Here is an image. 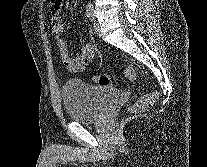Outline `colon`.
<instances>
[{"mask_svg":"<svg viewBox=\"0 0 207 167\" xmlns=\"http://www.w3.org/2000/svg\"><path fill=\"white\" fill-rule=\"evenodd\" d=\"M124 75L130 81H135L137 74L136 71L128 67L124 70ZM94 81L101 87H111L114 85V79L108 75L100 74L95 76ZM158 99V93L153 90H147L145 93L134 103L128 107L130 113H140L151 107Z\"/></svg>","mask_w":207,"mask_h":167,"instance_id":"5ec220e1","label":"colon"}]
</instances>
